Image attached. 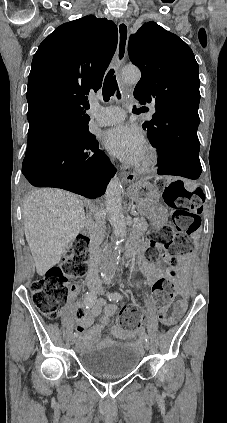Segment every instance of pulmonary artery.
<instances>
[{
  "mask_svg": "<svg viewBox=\"0 0 227 423\" xmlns=\"http://www.w3.org/2000/svg\"><path fill=\"white\" fill-rule=\"evenodd\" d=\"M153 113H155L154 107L145 119H150ZM93 115L98 126H113L125 120L126 112L123 108L117 106L98 107L93 110Z\"/></svg>",
  "mask_w": 227,
  "mask_h": 423,
  "instance_id": "obj_1",
  "label": "pulmonary artery"
}]
</instances>
